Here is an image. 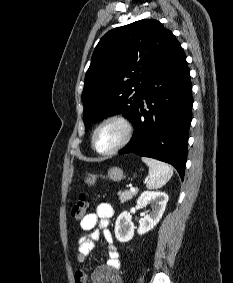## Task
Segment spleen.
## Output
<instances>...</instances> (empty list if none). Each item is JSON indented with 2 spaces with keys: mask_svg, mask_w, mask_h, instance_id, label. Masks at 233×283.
Returning <instances> with one entry per match:
<instances>
[{
  "mask_svg": "<svg viewBox=\"0 0 233 283\" xmlns=\"http://www.w3.org/2000/svg\"><path fill=\"white\" fill-rule=\"evenodd\" d=\"M142 161L149 167V180L146 183L148 189L161 188L173 175V169L164 162L148 157H142Z\"/></svg>",
  "mask_w": 233,
  "mask_h": 283,
  "instance_id": "3e777b00",
  "label": "spleen"
}]
</instances>
